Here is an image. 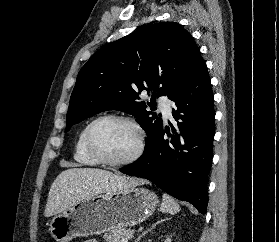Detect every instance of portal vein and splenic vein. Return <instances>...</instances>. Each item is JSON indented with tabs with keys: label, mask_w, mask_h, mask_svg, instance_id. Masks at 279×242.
Segmentation results:
<instances>
[{
	"label": "portal vein and splenic vein",
	"mask_w": 279,
	"mask_h": 242,
	"mask_svg": "<svg viewBox=\"0 0 279 242\" xmlns=\"http://www.w3.org/2000/svg\"><path fill=\"white\" fill-rule=\"evenodd\" d=\"M121 242H128V239L127 238L122 239Z\"/></svg>",
	"instance_id": "18ae733b"
}]
</instances>
